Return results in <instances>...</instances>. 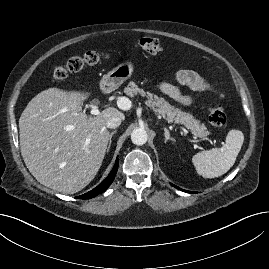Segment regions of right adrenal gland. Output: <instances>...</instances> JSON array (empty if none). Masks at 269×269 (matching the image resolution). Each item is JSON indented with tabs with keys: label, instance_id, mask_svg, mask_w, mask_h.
Listing matches in <instances>:
<instances>
[{
	"label": "right adrenal gland",
	"instance_id": "1",
	"mask_svg": "<svg viewBox=\"0 0 269 269\" xmlns=\"http://www.w3.org/2000/svg\"><path fill=\"white\" fill-rule=\"evenodd\" d=\"M115 133H116V130H114V131L111 132V134H110L109 143H108V147H107V153H108L109 150H110L111 143H112V137H113V135H114Z\"/></svg>",
	"mask_w": 269,
	"mask_h": 269
}]
</instances>
